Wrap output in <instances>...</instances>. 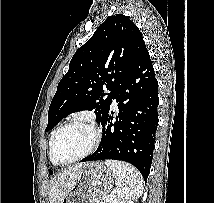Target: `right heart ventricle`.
<instances>
[{
    "label": "right heart ventricle",
    "instance_id": "1",
    "mask_svg": "<svg viewBox=\"0 0 214 203\" xmlns=\"http://www.w3.org/2000/svg\"><path fill=\"white\" fill-rule=\"evenodd\" d=\"M58 128H59V127H56V128L53 130V132L51 133L50 139H49V157H50V160L52 161L53 164H55V163H54L53 160L51 159V156H50V148H51V143H52L53 136H54L55 132L58 130ZM55 165H57V164H55Z\"/></svg>",
    "mask_w": 214,
    "mask_h": 203
}]
</instances>
